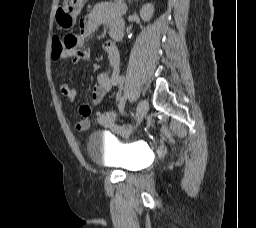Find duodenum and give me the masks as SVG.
<instances>
[{"label": "duodenum", "mask_w": 256, "mask_h": 228, "mask_svg": "<svg viewBox=\"0 0 256 228\" xmlns=\"http://www.w3.org/2000/svg\"><path fill=\"white\" fill-rule=\"evenodd\" d=\"M122 30L120 28L114 27L112 30V36L115 39H120L122 37Z\"/></svg>", "instance_id": "obj_1"}]
</instances>
